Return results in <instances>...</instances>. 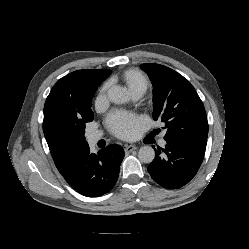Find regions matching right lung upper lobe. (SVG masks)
I'll return each instance as SVG.
<instances>
[{"label":"right lung upper lobe","mask_w":249,"mask_h":249,"mask_svg":"<svg viewBox=\"0 0 249 249\" xmlns=\"http://www.w3.org/2000/svg\"><path fill=\"white\" fill-rule=\"evenodd\" d=\"M111 70H77L61 78L52 88L44 105L43 131L56 165L66 152L87 145L69 132L71 122L83 116L99 84Z\"/></svg>","instance_id":"cb5924a9"}]
</instances>
